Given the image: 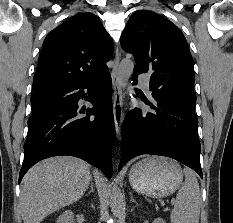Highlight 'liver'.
<instances>
[{"label": "liver", "mask_w": 233, "mask_h": 223, "mask_svg": "<svg viewBox=\"0 0 233 223\" xmlns=\"http://www.w3.org/2000/svg\"><path fill=\"white\" fill-rule=\"evenodd\" d=\"M90 177L88 163L78 157L58 155L33 165L24 175L19 195L24 223H40L52 211L78 201Z\"/></svg>", "instance_id": "6515ba94"}]
</instances>
